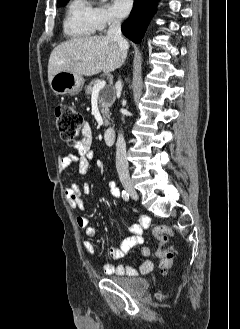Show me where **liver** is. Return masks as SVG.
Instances as JSON below:
<instances>
[{
    "mask_svg": "<svg viewBox=\"0 0 240 329\" xmlns=\"http://www.w3.org/2000/svg\"><path fill=\"white\" fill-rule=\"evenodd\" d=\"M122 51L116 41L107 36L73 38L58 45L48 62V80L60 71L92 76L109 73L123 63Z\"/></svg>",
    "mask_w": 240,
    "mask_h": 329,
    "instance_id": "liver-1",
    "label": "liver"
}]
</instances>
